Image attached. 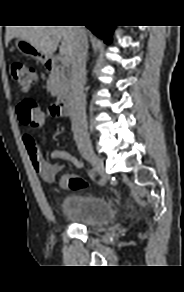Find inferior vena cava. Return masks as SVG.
Masks as SVG:
<instances>
[{
  "label": "inferior vena cava",
  "mask_w": 184,
  "mask_h": 292,
  "mask_svg": "<svg viewBox=\"0 0 184 292\" xmlns=\"http://www.w3.org/2000/svg\"><path fill=\"white\" fill-rule=\"evenodd\" d=\"M75 28L78 38L71 56L70 74L72 131L78 149L80 151H91L92 145L86 121V97L84 94L88 41L84 26H76Z\"/></svg>",
  "instance_id": "602c4592"
}]
</instances>
